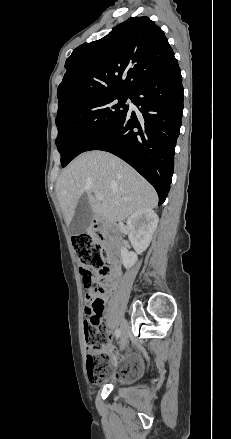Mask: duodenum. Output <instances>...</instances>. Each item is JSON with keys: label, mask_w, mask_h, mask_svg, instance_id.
<instances>
[{"label": "duodenum", "mask_w": 231, "mask_h": 439, "mask_svg": "<svg viewBox=\"0 0 231 439\" xmlns=\"http://www.w3.org/2000/svg\"><path fill=\"white\" fill-rule=\"evenodd\" d=\"M90 229H91V231H92L93 233H99L100 230H101L100 222H99L98 220L94 221V223L91 225ZM120 231H121L120 226H115V227L113 228V232H114V233H118V232H120ZM114 267H118V266H117V265H114L113 268H114Z\"/></svg>", "instance_id": "1"}]
</instances>
